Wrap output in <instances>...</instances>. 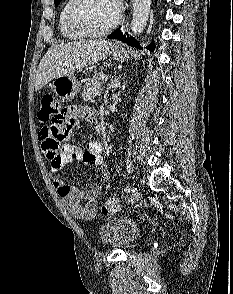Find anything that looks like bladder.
<instances>
[{
	"label": "bladder",
	"instance_id": "obj_1",
	"mask_svg": "<svg viewBox=\"0 0 233 294\" xmlns=\"http://www.w3.org/2000/svg\"><path fill=\"white\" fill-rule=\"evenodd\" d=\"M139 236L138 226L122 217L106 221L99 229L100 240L110 247L130 248L136 244Z\"/></svg>",
	"mask_w": 233,
	"mask_h": 294
}]
</instances>
